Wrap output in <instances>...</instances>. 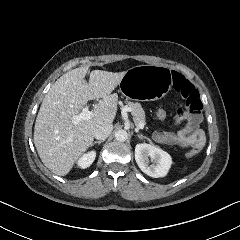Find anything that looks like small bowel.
Returning a JSON list of instances; mask_svg holds the SVG:
<instances>
[{
  "instance_id": "1",
  "label": "small bowel",
  "mask_w": 240,
  "mask_h": 240,
  "mask_svg": "<svg viewBox=\"0 0 240 240\" xmlns=\"http://www.w3.org/2000/svg\"><path fill=\"white\" fill-rule=\"evenodd\" d=\"M181 120H186L185 114L177 115L174 118L173 125ZM200 123L191 124L187 121V124L177 131L158 130L154 132L153 138L162 144L177 145L188 150L199 151L206 141L205 133L200 128Z\"/></svg>"
}]
</instances>
